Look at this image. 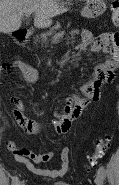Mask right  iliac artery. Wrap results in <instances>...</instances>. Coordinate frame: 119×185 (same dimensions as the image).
<instances>
[{"instance_id": "obj_1", "label": "right iliac artery", "mask_w": 119, "mask_h": 185, "mask_svg": "<svg viewBox=\"0 0 119 185\" xmlns=\"http://www.w3.org/2000/svg\"><path fill=\"white\" fill-rule=\"evenodd\" d=\"M12 185H18V177L17 176H14L12 178Z\"/></svg>"}]
</instances>
